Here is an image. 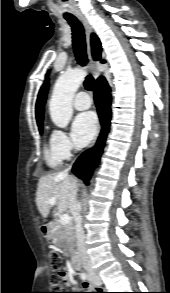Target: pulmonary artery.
Here are the masks:
<instances>
[{"mask_svg": "<svg viewBox=\"0 0 170 293\" xmlns=\"http://www.w3.org/2000/svg\"><path fill=\"white\" fill-rule=\"evenodd\" d=\"M91 104V99L86 92H78L73 101V105L77 110H86L91 107Z\"/></svg>", "mask_w": 170, "mask_h": 293, "instance_id": "pulmonary-artery-1", "label": "pulmonary artery"}]
</instances>
